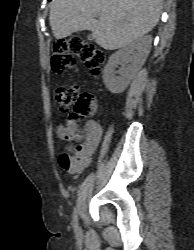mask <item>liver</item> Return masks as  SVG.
<instances>
[{"label": "liver", "instance_id": "liver-1", "mask_svg": "<svg viewBox=\"0 0 194 250\" xmlns=\"http://www.w3.org/2000/svg\"><path fill=\"white\" fill-rule=\"evenodd\" d=\"M162 0H52L49 21L56 39L89 30L106 50L130 44L158 23Z\"/></svg>", "mask_w": 194, "mask_h": 250}]
</instances>
